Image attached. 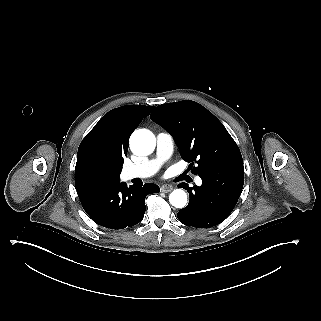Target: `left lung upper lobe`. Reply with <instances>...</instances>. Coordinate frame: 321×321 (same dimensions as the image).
Masks as SVG:
<instances>
[{"label":"left lung upper lobe","instance_id":"5c2ea615","mask_svg":"<svg viewBox=\"0 0 321 321\" xmlns=\"http://www.w3.org/2000/svg\"><path fill=\"white\" fill-rule=\"evenodd\" d=\"M150 117L172 135L185 161L197 163L194 174L243 162L237 144L223 124L194 101L159 105Z\"/></svg>","mask_w":321,"mask_h":321}]
</instances>
